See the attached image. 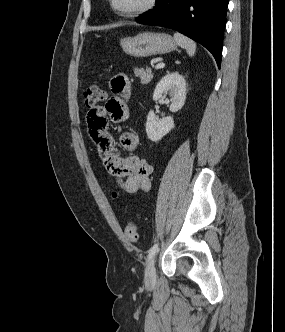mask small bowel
I'll return each mask as SVG.
<instances>
[{
    "mask_svg": "<svg viewBox=\"0 0 285 332\" xmlns=\"http://www.w3.org/2000/svg\"><path fill=\"white\" fill-rule=\"evenodd\" d=\"M110 89L115 94L105 106L90 109L87 113V126L90 138L101 154L105 167L117 187L128 194L147 192L151 187L152 166L135 151L139 138L131 131L123 132L118 140L106 131L108 120L121 123L128 118L126 99L131 93L129 78L122 73L110 80ZM120 146L127 155H122Z\"/></svg>",
    "mask_w": 285,
    "mask_h": 332,
    "instance_id": "obj_1",
    "label": "small bowel"
}]
</instances>
